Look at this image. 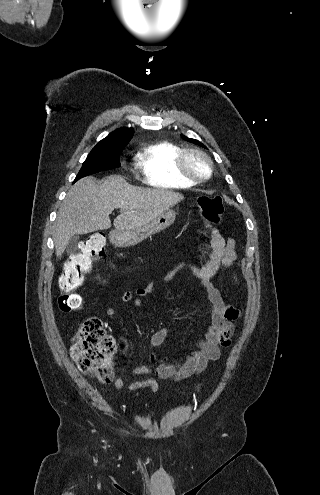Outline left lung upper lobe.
I'll list each match as a JSON object with an SVG mask.
<instances>
[{"instance_id":"5c2ea615","label":"left lung upper lobe","mask_w":320,"mask_h":495,"mask_svg":"<svg viewBox=\"0 0 320 495\" xmlns=\"http://www.w3.org/2000/svg\"><path fill=\"white\" fill-rule=\"evenodd\" d=\"M186 141H189L191 143H194V144H197V145H200L202 147H205L201 142H199L198 140H195V139H191V138H187L186 136H182Z\"/></svg>"}]
</instances>
